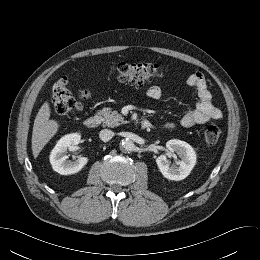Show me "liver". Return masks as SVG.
Returning a JSON list of instances; mask_svg holds the SVG:
<instances>
[{
	"label": "liver",
	"mask_w": 260,
	"mask_h": 260,
	"mask_svg": "<svg viewBox=\"0 0 260 260\" xmlns=\"http://www.w3.org/2000/svg\"><path fill=\"white\" fill-rule=\"evenodd\" d=\"M50 106L46 101L39 109L32 131V153L36 158L44 146L58 131L59 125L55 120H50Z\"/></svg>",
	"instance_id": "obj_1"
}]
</instances>
